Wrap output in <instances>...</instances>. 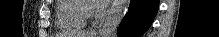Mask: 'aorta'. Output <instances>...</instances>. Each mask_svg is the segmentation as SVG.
<instances>
[{
    "label": "aorta",
    "instance_id": "1",
    "mask_svg": "<svg viewBox=\"0 0 219 37\" xmlns=\"http://www.w3.org/2000/svg\"><path fill=\"white\" fill-rule=\"evenodd\" d=\"M129 6L130 0L113 1L112 7L104 22V26L101 32L102 37H112L122 19L124 18Z\"/></svg>",
    "mask_w": 219,
    "mask_h": 37
}]
</instances>
